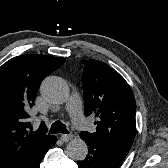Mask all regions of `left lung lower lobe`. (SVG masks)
Returning a JSON list of instances; mask_svg holds the SVG:
<instances>
[{
	"instance_id": "0a47b994",
	"label": "left lung lower lobe",
	"mask_w": 168,
	"mask_h": 168,
	"mask_svg": "<svg viewBox=\"0 0 168 168\" xmlns=\"http://www.w3.org/2000/svg\"><path fill=\"white\" fill-rule=\"evenodd\" d=\"M80 137L89 148L87 157L78 162L79 168H119L128 154L88 134H80Z\"/></svg>"
}]
</instances>
